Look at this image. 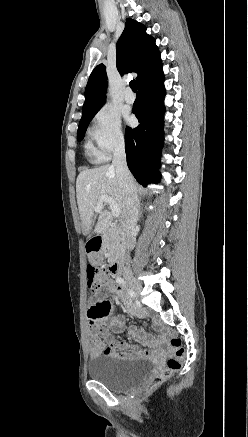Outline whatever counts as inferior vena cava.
I'll list each match as a JSON object with an SVG mask.
<instances>
[{"label":"inferior vena cava","mask_w":248,"mask_h":437,"mask_svg":"<svg viewBox=\"0 0 248 437\" xmlns=\"http://www.w3.org/2000/svg\"><path fill=\"white\" fill-rule=\"evenodd\" d=\"M112 166L116 170L118 182L124 192L125 215L123 217L122 226L126 247L129 251L135 246L134 229L139 215V200L134 178L127 167L125 144L122 139L115 144Z\"/></svg>","instance_id":"1"}]
</instances>
